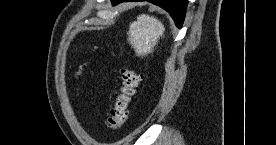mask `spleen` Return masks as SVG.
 I'll list each match as a JSON object with an SVG mask.
<instances>
[{"mask_svg":"<svg viewBox=\"0 0 276 145\" xmlns=\"http://www.w3.org/2000/svg\"><path fill=\"white\" fill-rule=\"evenodd\" d=\"M165 31L164 25L153 16L139 15L137 21L130 24L128 41L134 48L137 56L152 53L160 37Z\"/></svg>","mask_w":276,"mask_h":145,"instance_id":"3e777b00","label":"spleen"}]
</instances>
